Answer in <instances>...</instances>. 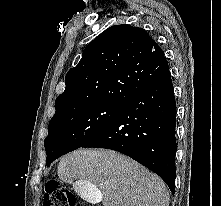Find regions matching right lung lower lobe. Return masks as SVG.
<instances>
[{"label": "right lung lower lobe", "instance_id": "1", "mask_svg": "<svg viewBox=\"0 0 221 206\" xmlns=\"http://www.w3.org/2000/svg\"><path fill=\"white\" fill-rule=\"evenodd\" d=\"M176 102L170 71L142 88L81 147L121 152L158 174L175 191Z\"/></svg>", "mask_w": 221, "mask_h": 206}]
</instances>
